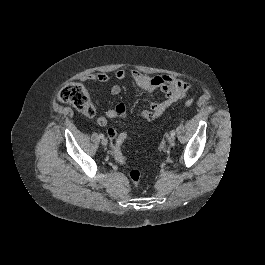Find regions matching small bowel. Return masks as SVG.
<instances>
[{"mask_svg":"<svg viewBox=\"0 0 265 265\" xmlns=\"http://www.w3.org/2000/svg\"><path fill=\"white\" fill-rule=\"evenodd\" d=\"M115 78L119 81H124L127 77V73L123 69H118L114 73ZM132 81L144 92L145 99L148 102L149 110L140 112L139 117L146 122H152L160 117L163 112L172 104L180 99H183L187 93L191 90V85L180 77L169 75H147L138 70H132L130 73ZM83 81H93L98 83H108L110 77L105 73H93L82 76ZM157 88H160L164 94L165 99L160 102L152 101L149 95ZM121 92V86L113 84L110 87V93L112 95H118ZM113 118H127V109L123 103L117 104L113 109L107 110L104 114L98 117V123L101 126H105L108 119ZM114 134L117 131L114 128H110Z\"/></svg>","mask_w":265,"mask_h":265,"instance_id":"small-bowel-1","label":"small bowel"}]
</instances>
